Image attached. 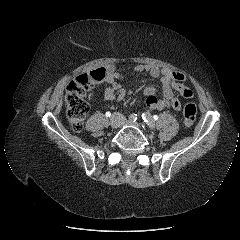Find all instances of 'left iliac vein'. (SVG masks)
Returning a JSON list of instances; mask_svg holds the SVG:
<instances>
[{"label": "left iliac vein", "instance_id": "4c4485c4", "mask_svg": "<svg viewBox=\"0 0 240 240\" xmlns=\"http://www.w3.org/2000/svg\"><path fill=\"white\" fill-rule=\"evenodd\" d=\"M126 123H127L128 125L135 126V127H138V128L141 127L140 124L137 123V122L127 121Z\"/></svg>", "mask_w": 240, "mask_h": 240}]
</instances>
